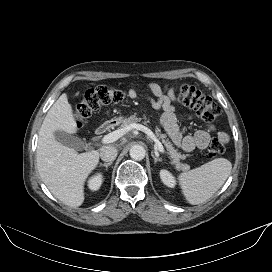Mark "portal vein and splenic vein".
Segmentation results:
<instances>
[{
	"mask_svg": "<svg viewBox=\"0 0 272 272\" xmlns=\"http://www.w3.org/2000/svg\"><path fill=\"white\" fill-rule=\"evenodd\" d=\"M132 129L141 130L144 133H146L152 140H154L155 147L157 148V150H159V152H161V153H165L163 145L156 138V136L154 135V133L149 128H147L146 126L141 125V124H136V123L130 124V125L125 126V127L121 128L119 130L113 131V132L105 135L102 138L101 142L103 144L113 143L116 140H118L119 138H121L123 135H125L128 131L132 130Z\"/></svg>",
	"mask_w": 272,
	"mask_h": 272,
	"instance_id": "portal-vein-and-splenic-vein-1",
	"label": "portal vein and splenic vein"
}]
</instances>
